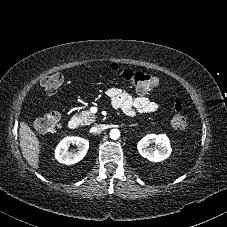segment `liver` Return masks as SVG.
Returning <instances> with one entry per match:
<instances>
[{
  "mask_svg": "<svg viewBox=\"0 0 227 227\" xmlns=\"http://www.w3.org/2000/svg\"><path fill=\"white\" fill-rule=\"evenodd\" d=\"M19 138L23 157L31 167L39 168L40 143L35 133L25 122L20 123Z\"/></svg>",
  "mask_w": 227,
  "mask_h": 227,
  "instance_id": "1",
  "label": "liver"
}]
</instances>
